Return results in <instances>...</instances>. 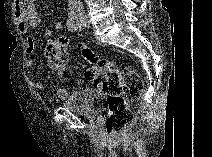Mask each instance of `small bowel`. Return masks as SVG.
Segmentation results:
<instances>
[{
	"label": "small bowel",
	"instance_id": "c3829d8e",
	"mask_svg": "<svg viewBox=\"0 0 212 157\" xmlns=\"http://www.w3.org/2000/svg\"><path fill=\"white\" fill-rule=\"evenodd\" d=\"M14 15L18 30L23 34H26L25 53L27 57L25 63L27 66H32L34 60L31 55L35 50V40L32 36L27 34L30 29L37 28L41 24V17L37 12L33 1H17L14 5ZM54 28L57 31L61 30L63 28V23L57 21ZM43 34L46 38H49L52 36L53 31L51 29H45ZM31 86L37 90L44 89V83L41 81H32ZM67 94V89L65 87H60L56 94L47 93L45 98L48 102L52 103L66 98Z\"/></svg>",
	"mask_w": 212,
	"mask_h": 157
}]
</instances>
